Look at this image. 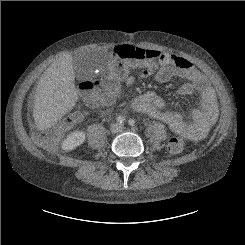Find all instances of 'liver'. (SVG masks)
<instances>
[{"label": "liver", "mask_w": 245, "mask_h": 245, "mask_svg": "<svg viewBox=\"0 0 245 245\" xmlns=\"http://www.w3.org/2000/svg\"><path fill=\"white\" fill-rule=\"evenodd\" d=\"M74 79V60L68 54L54 61L42 74L33 107L38 130L51 128L74 107L78 99Z\"/></svg>", "instance_id": "obj_1"}]
</instances>
